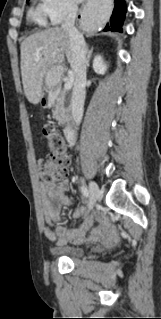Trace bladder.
Wrapping results in <instances>:
<instances>
[{"label": "bladder", "instance_id": "bladder-1", "mask_svg": "<svg viewBox=\"0 0 161 319\" xmlns=\"http://www.w3.org/2000/svg\"><path fill=\"white\" fill-rule=\"evenodd\" d=\"M49 253L54 257L76 258L82 254L78 246L57 243L49 249Z\"/></svg>", "mask_w": 161, "mask_h": 319}]
</instances>
